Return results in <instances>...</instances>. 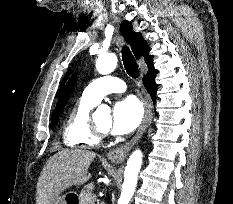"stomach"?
<instances>
[{
    "mask_svg": "<svg viewBox=\"0 0 233 204\" xmlns=\"http://www.w3.org/2000/svg\"><path fill=\"white\" fill-rule=\"evenodd\" d=\"M68 194H65V195H59L55 201L53 202V204H67V200H66V197H67Z\"/></svg>",
    "mask_w": 233,
    "mask_h": 204,
    "instance_id": "0dacf381",
    "label": "stomach"
}]
</instances>
